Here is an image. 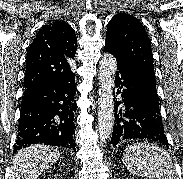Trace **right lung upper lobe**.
Here are the masks:
<instances>
[{"instance_id": "1", "label": "right lung upper lobe", "mask_w": 183, "mask_h": 179, "mask_svg": "<svg viewBox=\"0 0 183 179\" xmlns=\"http://www.w3.org/2000/svg\"><path fill=\"white\" fill-rule=\"evenodd\" d=\"M77 49V37L66 22L54 21L43 26L27 52L24 86L39 80L69 81Z\"/></svg>"}]
</instances>
